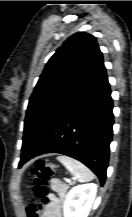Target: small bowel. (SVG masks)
Instances as JSON below:
<instances>
[{
	"instance_id": "1",
	"label": "small bowel",
	"mask_w": 132,
	"mask_h": 217,
	"mask_svg": "<svg viewBox=\"0 0 132 217\" xmlns=\"http://www.w3.org/2000/svg\"><path fill=\"white\" fill-rule=\"evenodd\" d=\"M52 188L57 195L50 196V202L41 206L39 211L41 213L40 217H62L63 199L66 195L67 187L61 181L54 180L52 182Z\"/></svg>"
}]
</instances>
